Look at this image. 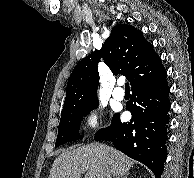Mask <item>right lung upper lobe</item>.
I'll use <instances>...</instances> for the list:
<instances>
[{
    "label": "right lung upper lobe",
    "instance_id": "right-lung-upper-lobe-1",
    "mask_svg": "<svg viewBox=\"0 0 194 178\" xmlns=\"http://www.w3.org/2000/svg\"><path fill=\"white\" fill-rule=\"evenodd\" d=\"M100 57L114 75L126 76L132 88L151 80L164 69L161 59L143 34L133 26L119 24L112 29L101 50L92 52L75 66L67 83L62 113L97 100Z\"/></svg>",
    "mask_w": 194,
    "mask_h": 178
}]
</instances>
